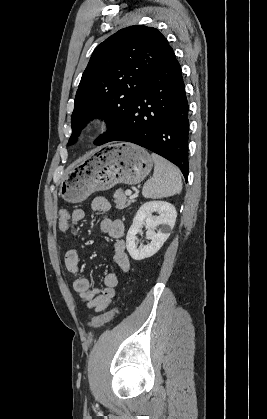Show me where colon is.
Here are the masks:
<instances>
[{
	"instance_id": "5ec220e1",
	"label": "colon",
	"mask_w": 267,
	"mask_h": 419,
	"mask_svg": "<svg viewBox=\"0 0 267 419\" xmlns=\"http://www.w3.org/2000/svg\"><path fill=\"white\" fill-rule=\"evenodd\" d=\"M58 227L64 233L69 231V229H70V214L68 213V211L62 210L60 212V216H59V220H58ZM116 313H117V309L112 308V309L104 312L103 314H100V315L94 317L89 322V327L92 328V329H96V328L101 327L105 323L112 320L113 317L116 315Z\"/></svg>"
}]
</instances>
